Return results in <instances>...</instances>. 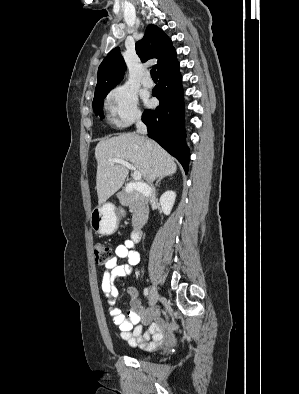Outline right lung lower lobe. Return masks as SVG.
Masks as SVG:
<instances>
[{
    "instance_id": "1",
    "label": "right lung lower lobe",
    "mask_w": 299,
    "mask_h": 394,
    "mask_svg": "<svg viewBox=\"0 0 299 394\" xmlns=\"http://www.w3.org/2000/svg\"><path fill=\"white\" fill-rule=\"evenodd\" d=\"M158 73L159 83L153 89L160 104L155 110H146L142 121L148 136L178 159L188 171L189 148L185 142L184 102L179 62L175 59Z\"/></svg>"
}]
</instances>
